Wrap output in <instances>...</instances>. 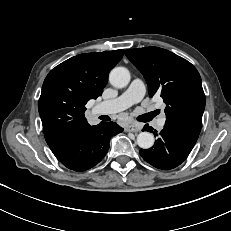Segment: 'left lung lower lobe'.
Here are the masks:
<instances>
[{"instance_id":"obj_1","label":"left lung lower lobe","mask_w":231,"mask_h":231,"mask_svg":"<svg viewBox=\"0 0 231 231\" xmlns=\"http://www.w3.org/2000/svg\"><path fill=\"white\" fill-rule=\"evenodd\" d=\"M143 131L154 133L158 139L153 147L146 150L141 149L140 155L152 166L162 170L179 166L187 158L197 141V138L185 131L166 123L159 135L149 124L144 126Z\"/></svg>"}]
</instances>
